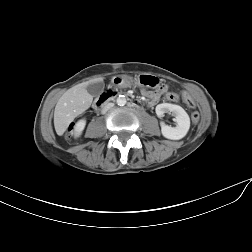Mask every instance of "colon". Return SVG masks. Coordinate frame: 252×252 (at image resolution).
Wrapping results in <instances>:
<instances>
[{
    "mask_svg": "<svg viewBox=\"0 0 252 252\" xmlns=\"http://www.w3.org/2000/svg\"><path fill=\"white\" fill-rule=\"evenodd\" d=\"M144 85L148 86H155L156 82L151 77H145L143 80ZM111 91H107L106 93H110ZM166 98L170 101H177L179 100V96L175 93H167ZM183 103L190 109H193L195 107V104L193 100L189 97H183L182 98ZM200 115L197 111H193L191 113V119L194 123H197L199 121Z\"/></svg>",
    "mask_w": 252,
    "mask_h": 252,
    "instance_id": "obj_1",
    "label": "colon"
}]
</instances>
